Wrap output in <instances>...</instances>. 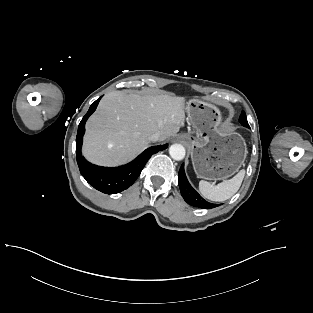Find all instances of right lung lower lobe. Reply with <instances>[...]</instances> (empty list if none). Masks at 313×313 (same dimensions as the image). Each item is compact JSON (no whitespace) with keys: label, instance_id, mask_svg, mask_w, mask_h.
<instances>
[{"label":"right lung lower lobe","instance_id":"right-lung-lower-lobe-1","mask_svg":"<svg viewBox=\"0 0 313 313\" xmlns=\"http://www.w3.org/2000/svg\"><path fill=\"white\" fill-rule=\"evenodd\" d=\"M101 97L92 103L88 112L81 120L76 137V157L82 176L95 189L107 193L116 194L130 187L140 175L149 158L168 147V144L153 146L146 149L132 162L115 168L101 167L89 163L81 153L85 123L95 111Z\"/></svg>","mask_w":313,"mask_h":313}]
</instances>
